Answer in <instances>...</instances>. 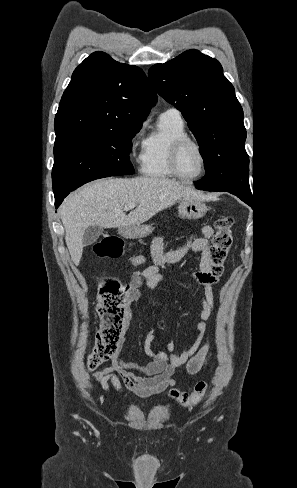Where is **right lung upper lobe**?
<instances>
[{"instance_id":"obj_1","label":"right lung upper lobe","mask_w":297,"mask_h":488,"mask_svg":"<svg viewBox=\"0 0 297 488\" xmlns=\"http://www.w3.org/2000/svg\"><path fill=\"white\" fill-rule=\"evenodd\" d=\"M157 95L137 66L94 52L74 71L55 116L56 136L142 126Z\"/></svg>"}]
</instances>
